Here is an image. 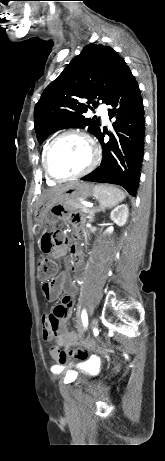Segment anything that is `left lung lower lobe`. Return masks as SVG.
Listing matches in <instances>:
<instances>
[{
  "label": "left lung lower lobe",
  "mask_w": 165,
  "mask_h": 461,
  "mask_svg": "<svg viewBox=\"0 0 165 461\" xmlns=\"http://www.w3.org/2000/svg\"><path fill=\"white\" fill-rule=\"evenodd\" d=\"M109 118L115 135L103 142L104 133L97 138L103 148V159L99 167L84 176L82 180L112 183L123 186L132 196H136L144 152V109L140 89L128 68L123 74L112 96L106 102Z\"/></svg>",
  "instance_id": "1"
}]
</instances>
